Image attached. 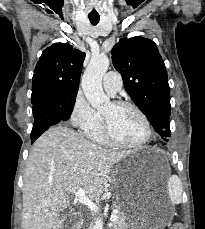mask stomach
<instances>
[{"mask_svg": "<svg viewBox=\"0 0 205 229\" xmlns=\"http://www.w3.org/2000/svg\"><path fill=\"white\" fill-rule=\"evenodd\" d=\"M150 148L132 152L113 170L112 178L117 189L120 210L126 229H164L171 220V209L157 202L149 206L141 196L139 187L143 176V161Z\"/></svg>", "mask_w": 205, "mask_h": 229, "instance_id": "0dacf381", "label": "stomach"}]
</instances>
